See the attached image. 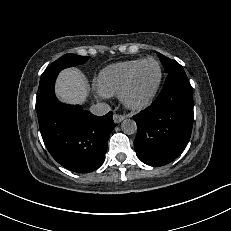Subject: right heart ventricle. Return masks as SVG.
Here are the masks:
<instances>
[{"instance_id": "e07e8e85", "label": "right heart ventricle", "mask_w": 231, "mask_h": 231, "mask_svg": "<svg viewBox=\"0 0 231 231\" xmlns=\"http://www.w3.org/2000/svg\"><path fill=\"white\" fill-rule=\"evenodd\" d=\"M143 59H132L111 64L96 79L98 91L107 97L119 95L133 68Z\"/></svg>"}]
</instances>
